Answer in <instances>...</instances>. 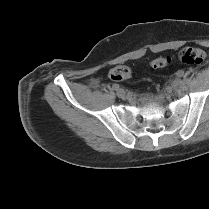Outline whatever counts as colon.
Listing matches in <instances>:
<instances>
[{
    "mask_svg": "<svg viewBox=\"0 0 209 209\" xmlns=\"http://www.w3.org/2000/svg\"><path fill=\"white\" fill-rule=\"evenodd\" d=\"M176 58L184 64L201 65L205 61L206 53L200 48L186 47L178 53ZM172 60V57H159L153 59L150 65L154 69H161ZM109 76L113 81H124L130 78L131 70L127 66H117L110 71Z\"/></svg>",
    "mask_w": 209,
    "mask_h": 209,
    "instance_id": "1",
    "label": "colon"
}]
</instances>
